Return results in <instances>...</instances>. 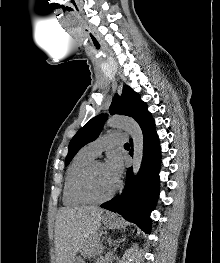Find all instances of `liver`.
<instances>
[{
	"instance_id": "1",
	"label": "liver",
	"mask_w": 220,
	"mask_h": 263,
	"mask_svg": "<svg viewBox=\"0 0 220 263\" xmlns=\"http://www.w3.org/2000/svg\"><path fill=\"white\" fill-rule=\"evenodd\" d=\"M104 210L95 206L61 208L55 218L56 263H72L101 226Z\"/></svg>"
}]
</instances>
